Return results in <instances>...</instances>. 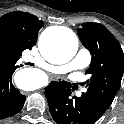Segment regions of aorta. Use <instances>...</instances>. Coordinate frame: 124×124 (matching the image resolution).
<instances>
[{
    "label": "aorta",
    "mask_w": 124,
    "mask_h": 124,
    "mask_svg": "<svg viewBox=\"0 0 124 124\" xmlns=\"http://www.w3.org/2000/svg\"><path fill=\"white\" fill-rule=\"evenodd\" d=\"M39 49L43 57L55 64L69 62L76 54L78 49V40L76 35L69 29L62 28L55 32L45 31L42 33L39 41ZM17 84L27 90H33L37 87L31 83L32 72L21 70L15 76Z\"/></svg>",
    "instance_id": "1"
}]
</instances>
